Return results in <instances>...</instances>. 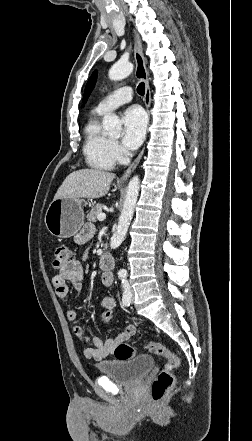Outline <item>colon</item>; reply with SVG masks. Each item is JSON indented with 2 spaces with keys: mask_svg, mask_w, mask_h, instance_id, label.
Listing matches in <instances>:
<instances>
[{
  "mask_svg": "<svg viewBox=\"0 0 252 441\" xmlns=\"http://www.w3.org/2000/svg\"><path fill=\"white\" fill-rule=\"evenodd\" d=\"M72 260L73 257L71 251L66 246H58L54 252L52 268L61 269ZM114 311L115 306L113 304H107L105 307L101 308L99 323L101 325L108 323L113 318ZM144 348L149 353L162 356L166 360L165 365L153 381L151 391L152 400L155 403H160L173 386V371L178 366L179 359L173 351L159 342L148 341L145 343ZM135 353V349L126 343L119 344L114 351V355L118 359H129L135 356Z\"/></svg>",
  "mask_w": 252,
  "mask_h": 441,
  "instance_id": "1",
  "label": "colon"
}]
</instances>
